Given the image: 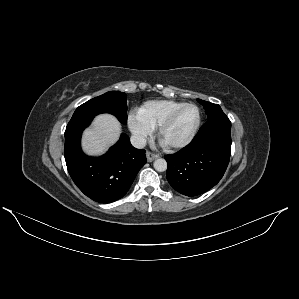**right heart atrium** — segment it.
<instances>
[{"label": "right heart atrium", "mask_w": 299, "mask_h": 299, "mask_svg": "<svg viewBox=\"0 0 299 299\" xmlns=\"http://www.w3.org/2000/svg\"><path fill=\"white\" fill-rule=\"evenodd\" d=\"M128 127L138 144H144L146 139L153 132V129L145 124L136 114H130L128 116Z\"/></svg>", "instance_id": "obj_1"}]
</instances>
